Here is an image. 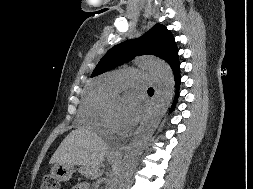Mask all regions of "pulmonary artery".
<instances>
[{
	"label": "pulmonary artery",
	"instance_id": "1",
	"mask_svg": "<svg viewBox=\"0 0 253 189\" xmlns=\"http://www.w3.org/2000/svg\"><path fill=\"white\" fill-rule=\"evenodd\" d=\"M107 83L112 90L117 91L126 86L150 85L152 77L142 73L124 72L110 77Z\"/></svg>",
	"mask_w": 253,
	"mask_h": 189
}]
</instances>
